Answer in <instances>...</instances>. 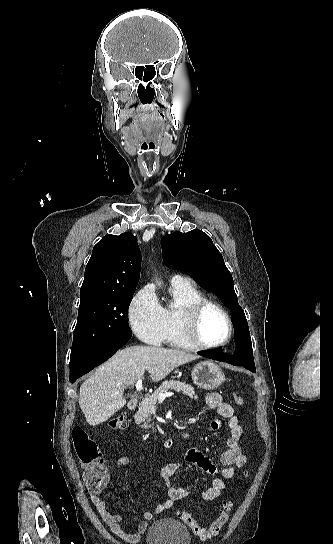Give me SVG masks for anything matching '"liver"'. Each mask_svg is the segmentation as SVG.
Instances as JSON below:
<instances>
[{"mask_svg":"<svg viewBox=\"0 0 333 544\" xmlns=\"http://www.w3.org/2000/svg\"><path fill=\"white\" fill-rule=\"evenodd\" d=\"M199 356L176 349L131 346L117 352L99 366L81 385L79 406L89 425L107 421L123 408V391L148 371L154 382L164 379L175 368Z\"/></svg>","mask_w":333,"mask_h":544,"instance_id":"obj_1","label":"liver"}]
</instances>
